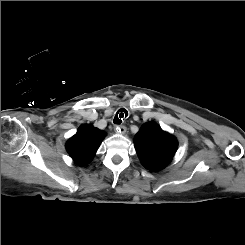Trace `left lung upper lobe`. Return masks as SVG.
Returning a JSON list of instances; mask_svg holds the SVG:
<instances>
[{
    "mask_svg": "<svg viewBox=\"0 0 245 245\" xmlns=\"http://www.w3.org/2000/svg\"><path fill=\"white\" fill-rule=\"evenodd\" d=\"M134 145L142 165L150 171H159L172 161L178 141L156 123L149 122L135 135Z\"/></svg>",
    "mask_w": 245,
    "mask_h": 245,
    "instance_id": "5c2ea615",
    "label": "left lung upper lobe"
}]
</instances>
